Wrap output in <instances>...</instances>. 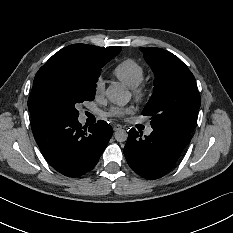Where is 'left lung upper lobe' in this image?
<instances>
[{"mask_svg": "<svg viewBox=\"0 0 233 233\" xmlns=\"http://www.w3.org/2000/svg\"><path fill=\"white\" fill-rule=\"evenodd\" d=\"M154 74V91L143 115L151 116L154 130L191 134L201 98L188 67L161 48H140Z\"/></svg>", "mask_w": 233, "mask_h": 233, "instance_id": "5c2ea615", "label": "left lung upper lobe"}]
</instances>
